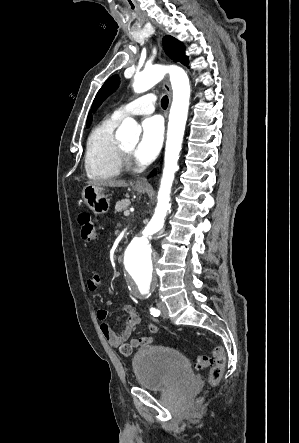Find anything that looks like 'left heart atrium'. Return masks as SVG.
Returning a JSON list of instances; mask_svg holds the SVG:
<instances>
[{
    "label": "left heart atrium",
    "mask_w": 299,
    "mask_h": 443,
    "mask_svg": "<svg viewBox=\"0 0 299 443\" xmlns=\"http://www.w3.org/2000/svg\"><path fill=\"white\" fill-rule=\"evenodd\" d=\"M164 133L163 120L159 116H152L142 123V135L135 149V156L141 163L152 161L157 155Z\"/></svg>",
    "instance_id": "1"
}]
</instances>
